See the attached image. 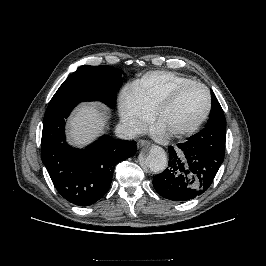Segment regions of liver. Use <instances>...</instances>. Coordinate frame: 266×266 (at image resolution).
Returning <instances> with one entry per match:
<instances>
[{
	"label": "liver",
	"instance_id": "obj_1",
	"mask_svg": "<svg viewBox=\"0 0 266 266\" xmlns=\"http://www.w3.org/2000/svg\"><path fill=\"white\" fill-rule=\"evenodd\" d=\"M102 107L98 103H84L75 109L68 124L72 144L85 146L102 133L107 121Z\"/></svg>",
	"mask_w": 266,
	"mask_h": 266
}]
</instances>
